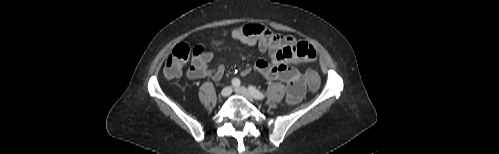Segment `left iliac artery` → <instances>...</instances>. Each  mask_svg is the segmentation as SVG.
<instances>
[{"instance_id": "44dca946", "label": "left iliac artery", "mask_w": 499, "mask_h": 154, "mask_svg": "<svg viewBox=\"0 0 499 154\" xmlns=\"http://www.w3.org/2000/svg\"><path fill=\"white\" fill-rule=\"evenodd\" d=\"M249 91L250 93L256 98V99H264L265 98V94L261 91H259L258 89H256L255 87L253 86H249Z\"/></svg>"}]
</instances>
